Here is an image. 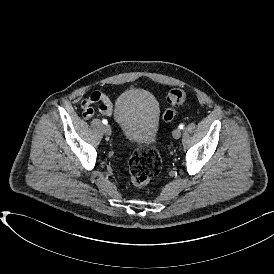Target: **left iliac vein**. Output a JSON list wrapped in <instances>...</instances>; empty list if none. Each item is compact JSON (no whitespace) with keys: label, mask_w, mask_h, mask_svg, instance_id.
Masks as SVG:
<instances>
[{"label":"left iliac vein","mask_w":274,"mask_h":274,"mask_svg":"<svg viewBox=\"0 0 274 274\" xmlns=\"http://www.w3.org/2000/svg\"><path fill=\"white\" fill-rule=\"evenodd\" d=\"M172 135H173L174 139H179L181 137V129H179V128L174 129L172 132Z\"/></svg>","instance_id":"4c4485c4"}]
</instances>
